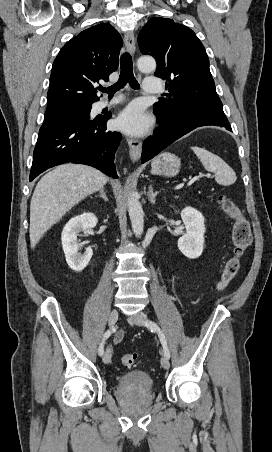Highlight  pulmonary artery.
<instances>
[{
  "instance_id": "e3ab8cb5",
  "label": "pulmonary artery",
  "mask_w": 272,
  "mask_h": 452,
  "mask_svg": "<svg viewBox=\"0 0 272 452\" xmlns=\"http://www.w3.org/2000/svg\"><path fill=\"white\" fill-rule=\"evenodd\" d=\"M161 89V85H160V81L158 78H154V77H148L145 78L144 80V90L146 93L148 94H156L159 93ZM121 101L120 97H115L112 100H103V101H99L96 104V109L97 110H102L106 107H110V106H114L116 104H118Z\"/></svg>"
}]
</instances>
